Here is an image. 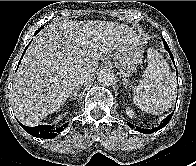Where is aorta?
Wrapping results in <instances>:
<instances>
[{
  "mask_svg": "<svg viewBox=\"0 0 196 166\" xmlns=\"http://www.w3.org/2000/svg\"><path fill=\"white\" fill-rule=\"evenodd\" d=\"M115 75L110 70H103L99 73L97 80L103 86H110L113 84Z\"/></svg>",
  "mask_w": 196,
  "mask_h": 166,
  "instance_id": "obj_1",
  "label": "aorta"
}]
</instances>
